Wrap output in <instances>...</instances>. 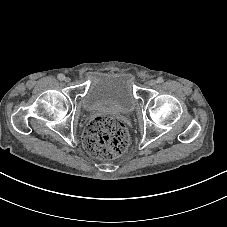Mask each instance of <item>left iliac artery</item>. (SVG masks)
<instances>
[{"label": "left iliac artery", "instance_id": "44dca946", "mask_svg": "<svg viewBox=\"0 0 227 227\" xmlns=\"http://www.w3.org/2000/svg\"><path fill=\"white\" fill-rule=\"evenodd\" d=\"M163 82V78L162 77H158L157 78V83L161 84Z\"/></svg>", "mask_w": 227, "mask_h": 227}]
</instances>
